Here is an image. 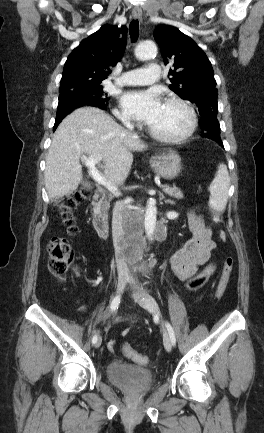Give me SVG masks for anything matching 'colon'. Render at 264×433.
Listing matches in <instances>:
<instances>
[{"label":"colon","mask_w":264,"mask_h":433,"mask_svg":"<svg viewBox=\"0 0 264 433\" xmlns=\"http://www.w3.org/2000/svg\"><path fill=\"white\" fill-rule=\"evenodd\" d=\"M90 196L87 190H78L65 197L58 203V210L63 223L71 235L77 233V226L72 215L73 209L85 202ZM214 223L219 224L222 221L218 213L212 214ZM219 238L225 242L227 235L224 231L219 232ZM48 268L49 271L57 277L63 276L69 269L70 263L74 257V248L69 239L64 237H53L48 243ZM234 260L232 257H226L223 263L221 277L216 288V297L221 298L228 286V282L233 270ZM215 272V266L209 265L192 277L187 283L186 288L189 291H196L204 286ZM124 354L134 362L142 365L148 363L147 356L133 350L127 343L123 345Z\"/></svg>","instance_id":"colon-1"}]
</instances>
